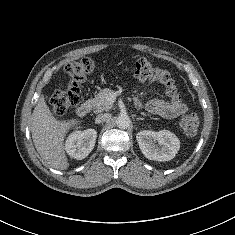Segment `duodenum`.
<instances>
[{"instance_id": "obj_1", "label": "duodenum", "mask_w": 235, "mask_h": 235, "mask_svg": "<svg viewBox=\"0 0 235 235\" xmlns=\"http://www.w3.org/2000/svg\"><path fill=\"white\" fill-rule=\"evenodd\" d=\"M91 109V105L89 102L85 101L82 102L76 109V113L79 117H84L86 116Z\"/></svg>"}]
</instances>
